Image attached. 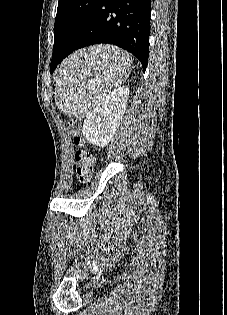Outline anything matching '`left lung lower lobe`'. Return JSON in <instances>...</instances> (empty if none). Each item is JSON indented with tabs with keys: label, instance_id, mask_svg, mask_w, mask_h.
<instances>
[{
	"label": "left lung lower lobe",
	"instance_id": "obj_1",
	"mask_svg": "<svg viewBox=\"0 0 227 315\" xmlns=\"http://www.w3.org/2000/svg\"><path fill=\"white\" fill-rule=\"evenodd\" d=\"M151 0H102L63 51L52 55L51 69L69 54L93 44H113L136 56L145 70L149 56Z\"/></svg>",
	"mask_w": 227,
	"mask_h": 315
}]
</instances>
